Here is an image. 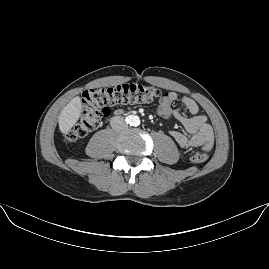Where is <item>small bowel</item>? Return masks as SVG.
I'll use <instances>...</instances> for the list:
<instances>
[{"mask_svg":"<svg viewBox=\"0 0 269 269\" xmlns=\"http://www.w3.org/2000/svg\"><path fill=\"white\" fill-rule=\"evenodd\" d=\"M178 98V94L175 91L166 92L156 109V113L161 117L174 116L186 130L187 134L176 130L170 132L172 138L181 148H200L202 151L210 150L214 143L215 134L207 117L198 114V105L193 99L186 96L182 97L181 102L184 109L191 116H186L182 109H173L172 104Z\"/></svg>","mask_w":269,"mask_h":269,"instance_id":"c3829d8e","label":"small bowel"}]
</instances>
